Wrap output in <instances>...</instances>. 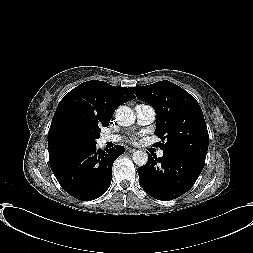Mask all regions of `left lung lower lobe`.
Segmentation results:
<instances>
[{
  "label": "left lung lower lobe",
  "mask_w": 253,
  "mask_h": 253,
  "mask_svg": "<svg viewBox=\"0 0 253 253\" xmlns=\"http://www.w3.org/2000/svg\"><path fill=\"white\" fill-rule=\"evenodd\" d=\"M148 156V162L137 170L139 182L145 192L162 201L175 199L190 190L205 164L196 157L177 152H163L158 158Z\"/></svg>",
  "instance_id": "left-lung-lower-lobe-1"
}]
</instances>
